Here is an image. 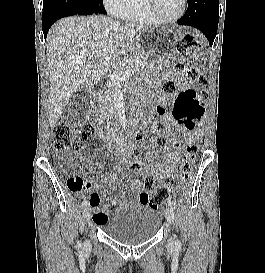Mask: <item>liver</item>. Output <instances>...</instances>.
Instances as JSON below:
<instances>
[{"label": "liver", "mask_w": 265, "mask_h": 273, "mask_svg": "<svg viewBox=\"0 0 265 273\" xmlns=\"http://www.w3.org/2000/svg\"><path fill=\"white\" fill-rule=\"evenodd\" d=\"M144 29L142 25H124L102 15L64 18L50 29L46 55L51 126L62 117L72 94L96 85L110 65L131 49Z\"/></svg>", "instance_id": "6515ba94"}]
</instances>
